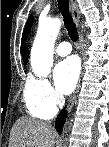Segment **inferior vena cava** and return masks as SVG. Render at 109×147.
Returning <instances> with one entry per match:
<instances>
[{"mask_svg":"<svg viewBox=\"0 0 109 147\" xmlns=\"http://www.w3.org/2000/svg\"><path fill=\"white\" fill-rule=\"evenodd\" d=\"M56 99H57V102H58V104H59L60 106H63V105H64V103H65V98H64V96L58 94V95L56 96Z\"/></svg>","mask_w":109,"mask_h":147,"instance_id":"1","label":"inferior vena cava"}]
</instances>
